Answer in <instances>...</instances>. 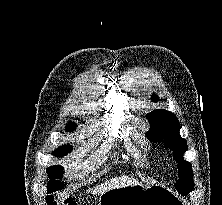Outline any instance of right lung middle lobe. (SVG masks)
<instances>
[{
    "label": "right lung middle lobe",
    "instance_id": "obj_1",
    "mask_svg": "<svg viewBox=\"0 0 222 205\" xmlns=\"http://www.w3.org/2000/svg\"><path fill=\"white\" fill-rule=\"evenodd\" d=\"M74 129H75V125L67 126V131H72ZM70 151H71V146L65 145V146H62V147L58 148L57 150H55L54 155L57 157L64 156ZM47 173L49 174L51 179H55V178L61 179V177L63 175V168L59 165L58 166H51L47 169ZM48 185H55V186H59L60 188H62L64 186V184H62L58 181H49Z\"/></svg>",
    "mask_w": 222,
    "mask_h": 205
}]
</instances>
